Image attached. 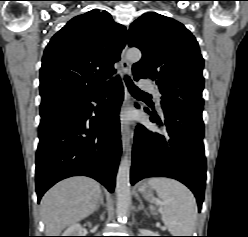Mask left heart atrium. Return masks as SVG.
<instances>
[{
  "label": "left heart atrium",
  "instance_id": "1",
  "mask_svg": "<svg viewBox=\"0 0 248 237\" xmlns=\"http://www.w3.org/2000/svg\"><path fill=\"white\" fill-rule=\"evenodd\" d=\"M127 120H129L128 115H127V114H123V115H122V121H123V122H126Z\"/></svg>",
  "mask_w": 248,
  "mask_h": 237
}]
</instances>
